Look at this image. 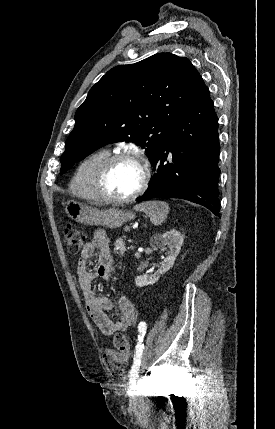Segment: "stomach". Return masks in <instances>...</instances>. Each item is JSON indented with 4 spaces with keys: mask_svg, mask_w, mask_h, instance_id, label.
<instances>
[{
    "mask_svg": "<svg viewBox=\"0 0 275 429\" xmlns=\"http://www.w3.org/2000/svg\"><path fill=\"white\" fill-rule=\"evenodd\" d=\"M65 213L76 222L87 225H101L111 229L119 228L126 221L134 218L132 212H125L115 208L98 210L73 200L65 204Z\"/></svg>",
    "mask_w": 275,
    "mask_h": 429,
    "instance_id": "obj_1",
    "label": "stomach"
}]
</instances>
